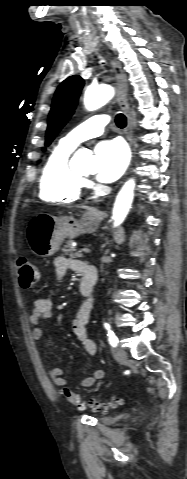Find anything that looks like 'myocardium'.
Here are the masks:
<instances>
[{
  "label": "myocardium",
  "mask_w": 187,
  "mask_h": 479,
  "mask_svg": "<svg viewBox=\"0 0 187 479\" xmlns=\"http://www.w3.org/2000/svg\"><path fill=\"white\" fill-rule=\"evenodd\" d=\"M79 174H80V173H79ZM80 176H81V178H82V180H83V185H84V184L86 183V181H87V176L84 175V174H80Z\"/></svg>",
  "instance_id": "myocardium-1"
}]
</instances>
